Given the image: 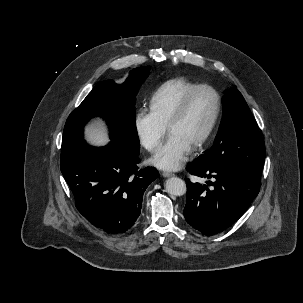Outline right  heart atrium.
I'll list each match as a JSON object with an SVG mask.
<instances>
[{"instance_id": "obj_1", "label": "right heart atrium", "mask_w": 303, "mask_h": 303, "mask_svg": "<svg viewBox=\"0 0 303 303\" xmlns=\"http://www.w3.org/2000/svg\"><path fill=\"white\" fill-rule=\"evenodd\" d=\"M133 126L140 144L149 152L155 151L165 134L163 125L151 111L141 109L134 115Z\"/></svg>"}]
</instances>
